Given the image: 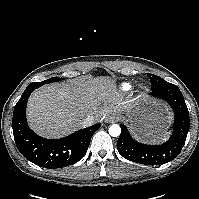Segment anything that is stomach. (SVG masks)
Returning <instances> with one entry per match:
<instances>
[{"label":"stomach","mask_w":199,"mask_h":199,"mask_svg":"<svg viewBox=\"0 0 199 199\" xmlns=\"http://www.w3.org/2000/svg\"><path fill=\"white\" fill-rule=\"evenodd\" d=\"M123 119L136 137L149 140L165 131L169 116L162 104L143 97L124 113Z\"/></svg>","instance_id":"stomach-1"}]
</instances>
